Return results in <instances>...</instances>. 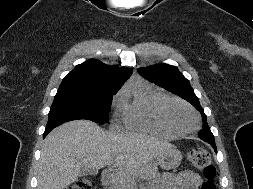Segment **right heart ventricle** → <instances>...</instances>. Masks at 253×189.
<instances>
[{"instance_id":"1","label":"right heart ventricle","mask_w":253,"mask_h":189,"mask_svg":"<svg viewBox=\"0 0 253 189\" xmlns=\"http://www.w3.org/2000/svg\"><path fill=\"white\" fill-rule=\"evenodd\" d=\"M167 95L147 84L130 87L122 92V114L127 129L165 137L174 134L157 120L155 110Z\"/></svg>"}]
</instances>
